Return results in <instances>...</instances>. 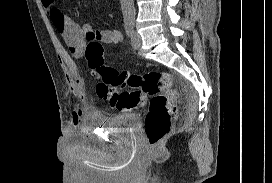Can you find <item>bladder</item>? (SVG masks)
Listing matches in <instances>:
<instances>
[{"label": "bladder", "mask_w": 272, "mask_h": 183, "mask_svg": "<svg viewBox=\"0 0 272 183\" xmlns=\"http://www.w3.org/2000/svg\"><path fill=\"white\" fill-rule=\"evenodd\" d=\"M96 121L106 129L132 133L136 131L139 125L140 116L137 113H125L113 116H102Z\"/></svg>", "instance_id": "obj_1"}]
</instances>
